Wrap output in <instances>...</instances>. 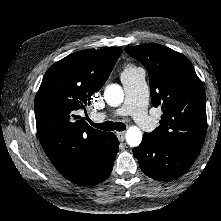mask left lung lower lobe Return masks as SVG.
<instances>
[{
	"instance_id": "obj_1",
	"label": "left lung lower lobe",
	"mask_w": 221,
	"mask_h": 221,
	"mask_svg": "<svg viewBox=\"0 0 221 221\" xmlns=\"http://www.w3.org/2000/svg\"><path fill=\"white\" fill-rule=\"evenodd\" d=\"M133 152L142 171L150 178L161 181L183 175L198 156L173 143L153 140L145 135Z\"/></svg>"
}]
</instances>
